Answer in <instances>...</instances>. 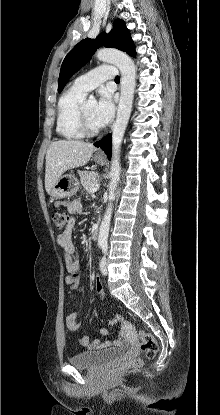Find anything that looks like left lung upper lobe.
I'll list each match as a JSON object with an SVG mask.
<instances>
[{"mask_svg":"<svg viewBox=\"0 0 220 415\" xmlns=\"http://www.w3.org/2000/svg\"><path fill=\"white\" fill-rule=\"evenodd\" d=\"M101 45L114 47L135 57V45L131 39L125 22L121 19L115 20L110 33H102L96 39L86 38L80 41L65 57L61 65L58 79V91L67 84L69 78L84 66Z\"/></svg>","mask_w":220,"mask_h":415,"instance_id":"obj_1","label":"left lung upper lobe"}]
</instances>
